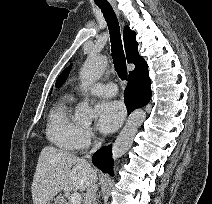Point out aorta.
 Instances as JSON below:
<instances>
[{
	"instance_id": "aorta-1",
	"label": "aorta",
	"mask_w": 212,
	"mask_h": 204,
	"mask_svg": "<svg viewBox=\"0 0 212 204\" xmlns=\"http://www.w3.org/2000/svg\"><path fill=\"white\" fill-rule=\"evenodd\" d=\"M107 67V58L103 55L92 54L89 55L80 71V79L82 86L87 88L100 79ZM76 117L82 122H91L94 118V110L88 104L87 99L77 104ZM146 118L143 110H135L129 116L124 128L117 137L112 153L116 160L124 155L132 146L134 137Z\"/></svg>"
}]
</instances>
